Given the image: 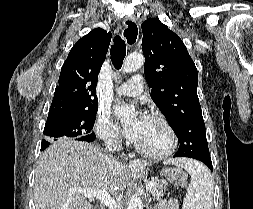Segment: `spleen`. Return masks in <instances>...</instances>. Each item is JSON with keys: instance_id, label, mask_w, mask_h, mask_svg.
I'll return each mask as SVG.
<instances>
[{"instance_id": "1", "label": "spleen", "mask_w": 253, "mask_h": 209, "mask_svg": "<svg viewBox=\"0 0 253 209\" xmlns=\"http://www.w3.org/2000/svg\"><path fill=\"white\" fill-rule=\"evenodd\" d=\"M164 163L184 168L191 176L182 209H211L213 181L206 166L196 160L186 158L169 159Z\"/></svg>"}]
</instances>
